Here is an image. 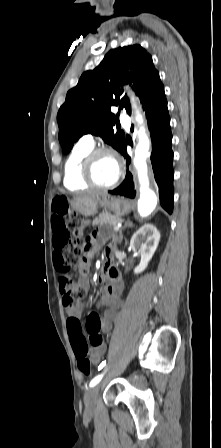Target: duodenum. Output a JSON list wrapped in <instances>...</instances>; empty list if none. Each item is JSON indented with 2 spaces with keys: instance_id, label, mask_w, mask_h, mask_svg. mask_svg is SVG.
Masks as SVG:
<instances>
[{
  "instance_id": "duodenum-1",
  "label": "duodenum",
  "mask_w": 221,
  "mask_h": 448,
  "mask_svg": "<svg viewBox=\"0 0 221 448\" xmlns=\"http://www.w3.org/2000/svg\"><path fill=\"white\" fill-rule=\"evenodd\" d=\"M107 258H108L109 261H111L112 253H108V254H107Z\"/></svg>"
}]
</instances>
